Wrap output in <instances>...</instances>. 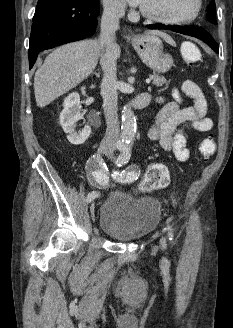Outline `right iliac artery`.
<instances>
[{
	"instance_id": "82829eb1",
	"label": "right iliac artery",
	"mask_w": 233,
	"mask_h": 328,
	"mask_svg": "<svg viewBox=\"0 0 233 328\" xmlns=\"http://www.w3.org/2000/svg\"><path fill=\"white\" fill-rule=\"evenodd\" d=\"M118 149H121V146H118ZM87 169L90 172L88 179L92 186L96 188H107L110 186L107 169L102 157L93 155L88 161ZM98 196L99 192L93 191L87 195L86 201L90 203Z\"/></svg>"
}]
</instances>
